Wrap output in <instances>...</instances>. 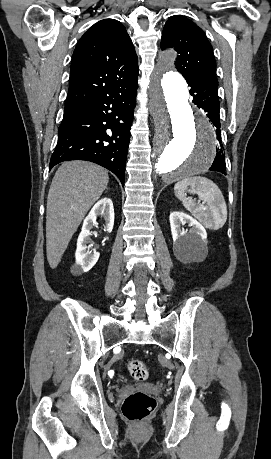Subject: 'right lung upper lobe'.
Returning a JSON list of instances; mask_svg holds the SVG:
<instances>
[{
  "mask_svg": "<svg viewBox=\"0 0 271 459\" xmlns=\"http://www.w3.org/2000/svg\"><path fill=\"white\" fill-rule=\"evenodd\" d=\"M138 75V58L122 23L104 19L79 40L72 57L64 112Z\"/></svg>",
  "mask_w": 271,
  "mask_h": 459,
  "instance_id": "cb5924a9",
  "label": "right lung upper lobe"
}]
</instances>
